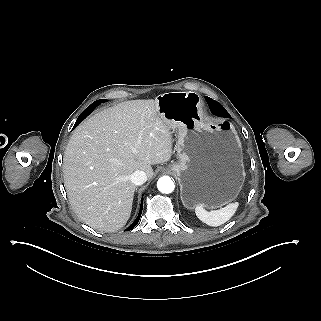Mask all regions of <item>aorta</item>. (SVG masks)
Here are the masks:
<instances>
[{"label": "aorta", "mask_w": 321, "mask_h": 321, "mask_svg": "<svg viewBox=\"0 0 321 321\" xmlns=\"http://www.w3.org/2000/svg\"><path fill=\"white\" fill-rule=\"evenodd\" d=\"M157 188L160 192L169 194L173 192L175 185L169 176H163L158 180Z\"/></svg>", "instance_id": "aorta-1"}]
</instances>
